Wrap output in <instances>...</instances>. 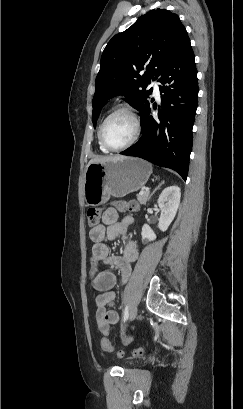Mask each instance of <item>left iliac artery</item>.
I'll return each mask as SVG.
<instances>
[{
    "mask_svg": "<svg viewBox=\"0 0 243 409\" xmlns=\"http://www.w3.org/2000/svg\"><path fill=\"white\" fill-rule=\"evenodd\" d=\"M129 317V307L128 305L125 306L124 312H123V322H126Z\"/></svg>",
    "mask_w": 243,
    "mask_h": 409,
    "instance_id": "left-iliac-artery-1",
    "label": "left iliac artery"
}]
</instances>
